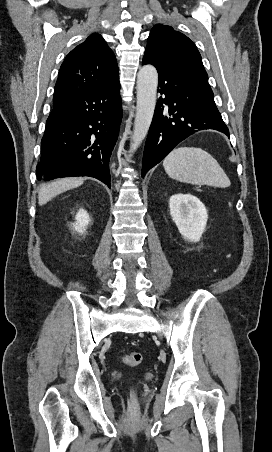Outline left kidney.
Listing matches in <instances>:
<instances>
[{
  "label": "left kidney",
  "mask_w": 272,
  "mask_h": 452,
  "mask_svg": "<svg viewBox=\"0 0 272 452\" xmlns=\"http://www.w3.org/2000/svg\"><path fill=\"white\" fill-rule=\"evenodd\" d=\"M169 208L183 238L190 242L200 241L208 220L205 205L191 194L178 193L170 197Z\"/></svg>",
  "instance_id": "obj_1"
}]
</instances>
